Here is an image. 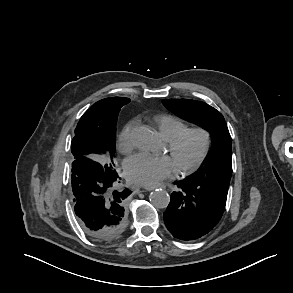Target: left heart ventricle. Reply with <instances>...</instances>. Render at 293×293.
I'll return each mask as SVG.
<instances>
[{"mask_svg": "<svg viewBox=\"0 0 293 293\" xmlns=\"http://www.w3.org/2000/svg\"><path fill=\"white\" fill-rule=\"evenodd\" d=\"M201 148V138L198 135L188 137L184 143L173 153H170L176 169L188 165L197 156Z\"/></svg>", "mask_w": 293, "mask_h": 293, "instance_id": "b2bd125f", "label": "left heart ventricle"}]
</instances>
